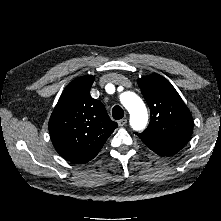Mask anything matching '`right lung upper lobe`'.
<instances>
[{"label": "right lung upper lobe", "mask_w": 221, "mask_h": 221, "mask_svg": "<svg viewBox=\"0 0 221 221\" xmlns=\"http://www.w3.org/2000/svg\"><path fill=\"white\" fill-rule=\"evenodd\" d=\"M93 76L69 83L49 120V132L56 151L75 163L93 159L118 127L104 105L90 96Z\"/></svg>", "instance_id": "1"}]
</instances>
